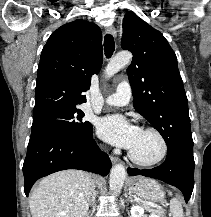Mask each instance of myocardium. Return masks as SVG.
I'll list each match as a JSON object with an SVG mask.
<instances>
[{
  "instance_id": "obj_1",
  "label": "myocardium",
  "mask_w": 211,
  "mask_h": 217,
  "mask_svg": "<svg viewBox=\"0 0 211 217\" xmlns=\"http://www.w3.org/2000/svg\"><path fill=\"white\" fill-rule=\"evenodd\" d=\"M142 131H148V132H152L154 133L160 140L161 142V146H162V150H161V153L160 155L154 159V160H151V161H143V160H140L138 159L131 151L128 152V156L130 158V160L139 165V166H143V167H152V166H156L158 164H160L167 156V153H168V144H167V141L164 137V135L161 133V131H159L157 128L155 127H144L141 129Z\"/></svg>"
}]
</instances>
